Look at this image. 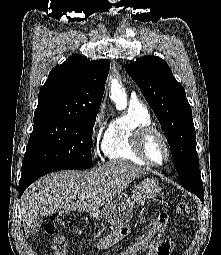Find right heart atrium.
Returning a JSON list of instances; mask_svg holds the SVG:
<instances>
[{
    "label": "right heart atrium",
    "instance_id": "obj_1",
    "mask_svg": "<svg viewBox=\"0 0 221 255\" xmlns=\"http://www.w3.org/2000/svg\"><path fill=\"white\" fill-rule=\"evenodd\" d=\"M103 124H104V110L101 109L93 121L92 135H91V139L93 143H95L96 140L98 139Z\"/></svg>",
    "mask_w": 221,
    "mask_h": 255
}]
</instances>
